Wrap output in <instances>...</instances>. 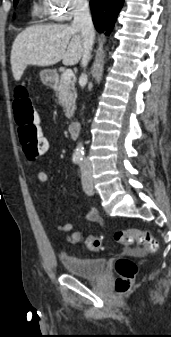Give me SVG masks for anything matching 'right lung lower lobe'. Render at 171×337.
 Segmentation results:
<instances>
[{"mask_svg": "<svg viewBox=\"0 0 171 337\" xmlns=\"http://www.w3.org/2000/svg\"><path fill=\"white\" fill-rule=\"evenodd\" d=\"M124 0H91L92 18L96 29L109 35Z\"/></svg>", "mask_w": 171, "mask_h": 337, "instance_id": "obj_1", "label": "right lung lower lobe"}]
</instances>
